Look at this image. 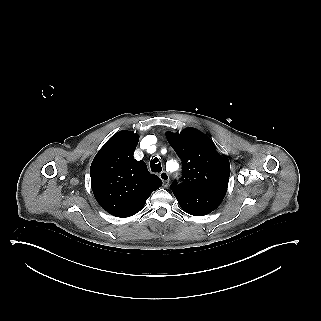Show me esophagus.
<instances>
[{
  "mask_svg": "<svg viewBox=\"0 0 321 321\" xmlns=\"http://www.w3.org/2000/svg\"><path fill=\"white\" fill-rule=\"evenodd\" d=\"M159 176H160V179L163 181L164 186L167 187L168 183H169V175H168V173L165 172V171H162Z\"/></svg>",
  "mask_w": 321,
  "mask_h": 321,
  "instance_id": "esophagus-1",
  "label": "esophagus"
}]
</instances>
